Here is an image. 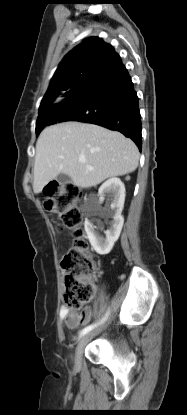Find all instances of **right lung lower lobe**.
<instances>
[{
  "mask_svg": "<svg viewBox=\"0 0 187 415\" xmlns=\"http://www.w3.org/2000/svg\"><path fill=\"white\" fill-rule=\"evenodd\" d=\"M78 84L77 90L55 109L49 125L64 121L100 125L131 138L141 151L138 97L121 58Z\"/></svg>",
  "mask_w": 187,
  "mask_h": 415,
  "instance_id": "98d812e1",
  "label": "right lung lower lobe"
}]
</instances>
